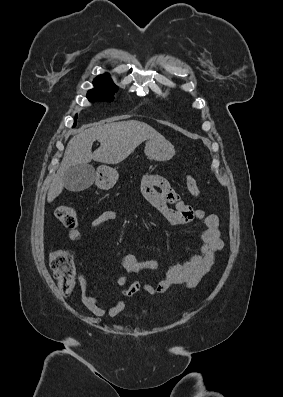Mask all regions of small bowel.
I'll use <instances>...</instances> for the list:
<instances>
[{
  "instance_id": "c3829d8e",
  "label": "small bowel",
  "mask_w": 283,
  "mask_h": 397,
  "mask_svg": "<svg viewBox=\"0 0 283 397\" xmlns=\"http://www.w3.org/2000/svg\"><path fill=\"white\" fill-rule=\"evenodd\" d=\"M142 193L149 205L170 225H183L197 220L205 226L201 235L199 252L194 254L183 264L169 265L165 276L157 284L141 283L133 281L129 283L130 275L143 270L155 269L159 266L157 260L138 261L133 254H127L120 260V266L125 275L116 278L118 286H126L124 296H132L139 290H143L149 296L162 293L174 285L186 288L196 286L202 278L208 275L216 262L217 255L222 251L224 243L220 237V220L215 214H208L204 209L191 207L186 204L174 191L169 182L158 175H146L141 183ZM117 218L114 210H105L94 218L90 226L98 228L103 224ZM72 241H80L82 234L78 229H72L68 233ZM81 289V301L96 317L107 315L116 318L125 310V303L121 299L110 301V307L105 310L102 307L103 300L90 294L88 282L83 273H78Z\"/></svg>"
}]
</instances>
